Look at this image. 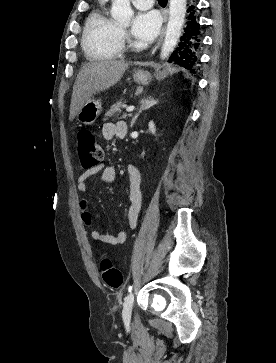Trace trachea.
Segmentation results:
<instances>
[{"label": "trachea", "mask_w": 276, "mask_h": 363, "mask_svg": "<svg viewBox=\"0 0 276 363\" xmlns=\"http://www.w3.org/2000/svg\"><path fill=\"white\" fill-rule=\"evenodd\" d=\"M159 1V3L160 4H162V5H166V3H167V0H158Z\"/></svg>", "instance_id": "3493384b"}]
</instances>
